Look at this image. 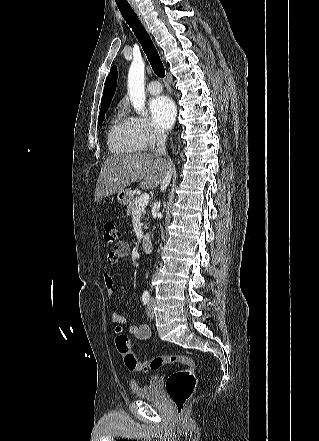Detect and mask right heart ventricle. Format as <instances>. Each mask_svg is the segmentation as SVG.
I'll use <instances>...</instances> for the list:
<instances>
[{"instance_id": "1", "label": "right heart ventricle", "mask_w": 319, "mask_h": 441, "mask_svg": "<svg viewBox=\"0 0 319 441\" xmlns=\"http://www.w3.org/2000/svg\"><path fill=\"white\" fill-rule=\"evenodd\" d=\"M107 140L112 153L133 154L139 151L131 138L128 120L119 114H115L110 120Z\"/></svg>"}]
</instances>
